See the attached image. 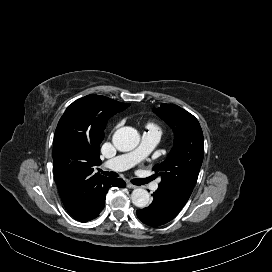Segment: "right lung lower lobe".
<instances>
[{"mask_svg": "<svg viewBox=\"0 0 272 272\" xmlns=\"http://www.w3.org/2000/svg\"><path fill=\"white\" fill-rule=\"evenodd\" d=\"M125 186H126V183L122 179H111L110 178L109 186L107 187V189L103 193L102 198L99 201V203H98L97 207L95 208V210L89 216H87L84 220H82L80 222H87L89 220H92V219L96 218L99 215L101 210L104 208L105 196H106V193H107V191H108V189L110 187H122V188H124Z\"/></svg>", "mask_w": 272, "mask_h": 272, "instance_id": "right-lung-lower-lobe-1", "label": "right lung lower lobe"}]
</instances>
